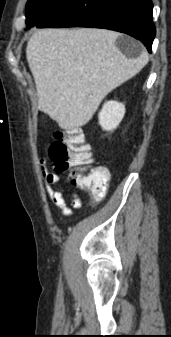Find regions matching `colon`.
<instances>
[{
  "mask_svg": "<svg viewBox=\"0 0 171 337\" xmlns=\"http://www.w3.org/2000/svg\"><path fill=\"white\" fill-rule=\"evenodd\" d=\"M49 155L59 171H66L70 167L78 168L77 172L71 173V182L87 189L93 201H101L105 197L109 186V172L102 166L86 168L94 159L91 147L80 129L55 132Z\"/></svg>",
  "mask_w": 171,
  "mask_h": 337,
  "instance_id": "obj_1",
  "label": "colon"
}]
</instances>
